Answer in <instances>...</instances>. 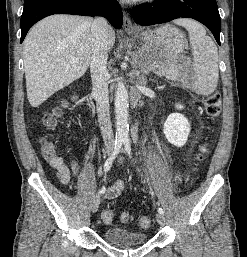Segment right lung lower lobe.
Listing matches in <instances>:
<instances>
[{
	"label": "right lung lower lobe",
	"mask_w": 247,
	"mask_h": 257,
	"mask_svg": "<svg viewBox=\"0 0 247 257\" xmlns=\"http://www.w3.org/2000/svg\"><path fill=\"white\" fill-rule=\"evenodd\" d=\"M53 14L103 16L113 27H122V10L115 0H25L21 16V39L39 20Z\"/></svg>",
	"instance_id": "obj_1"
}]
</instances>
